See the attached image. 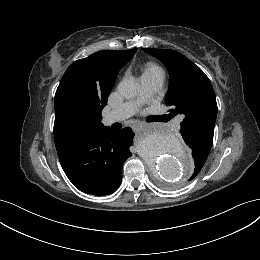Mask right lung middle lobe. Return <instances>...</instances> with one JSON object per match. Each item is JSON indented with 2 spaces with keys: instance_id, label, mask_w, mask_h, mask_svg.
<instances>
[{
  "instance_id": "dd1d6c3e",
  "label": "right lung middle lobe",
  "mask_w": 260,
  "mask_h": 260,
  "mask_svg": "<svg viewBox=\"0 0 260 260\" xmlns=\"http://www.w3.org/2000/svg\"><path fill=\"white\" fill-rule=\"evenodd\" d=\"M65 107L68 114L78 120L90 119L93 116H101L103 107L97 98H82L69 94L65 97Z\"/></svg>"
}]
</instances>
